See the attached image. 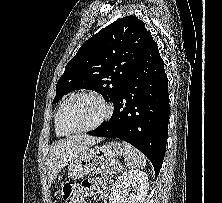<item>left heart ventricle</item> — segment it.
<instances>
[{"mask_svg":"<svg viewBox=\"0 0 222 203\" xmlns=\"http://www.w3.org/2000/svg\"><path fill=\"white\" fill-rule=\"evenodd\" d=\"M103 106L93 98L78 97L66 107L63 121L72 129L88 127L97 122L103 115Z\"/></svg>","mask_w":222,"mask_h":203,"instance_id":"1","label":"left heart ventricle"}]
</instances>
